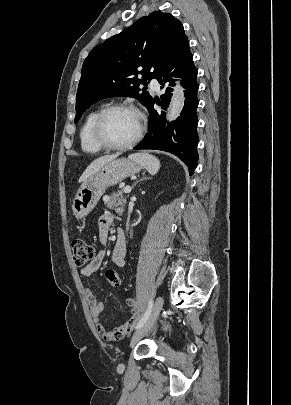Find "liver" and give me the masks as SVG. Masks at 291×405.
<instances>
[{
	"instance_id": "obj_1",
	"label": "liver",
	"mask_w": 291,
	"mask_h": 405,
	"mask_svg": "<svg viewBox=\"0 0 291 405\" xmlns=\"http://www.w3.org/2000/svg\"><path fill=\"white\" fill-rule=\"evenodd\" d=\"M117 156H118V154H114V155H109V156H103V157H100V158H97L96 160H94L83 172V174L81 175V177L79 179V182L80 183L84 182L86 179H88L89 177L94 175L96 172H98L106 163L114 160Z\"/></svg>"
}]
</instances>
